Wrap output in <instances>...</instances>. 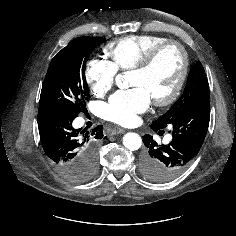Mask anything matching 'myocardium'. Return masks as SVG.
Returning a JSON list of instances; mask_svg holds the SVG:
<instances>
[{
    "label": "myocardium",
    "mask_w": 236,
    "mask_h": 236,
    "mask_svg": "<svg viewBox=\"0 0 236 236\" xmlns=\"http://www.w3.org/2000/svg\"><path fill=\"white\" fill-rule=\"evenodd\" d=\"M171 46L176 47L180 51L181 56H182V66H181L180 73L178 75V78L172 90L163 98L153 99V103L159 107H165L172 104L179 96L186 82L188 72H189V57H188L187 50L180 42L176 40H168L152 48L145 55V57L136 66L133 67V71H136V72L147 71L148 69L152 67L155 60L159 56V54Z\"/></svg>",
    "instance_id": "1"
}]
</instances>
